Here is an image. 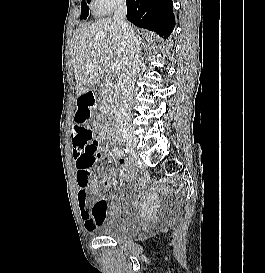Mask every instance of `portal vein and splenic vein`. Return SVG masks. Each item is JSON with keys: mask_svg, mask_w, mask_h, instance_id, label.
<instances>
[{"mask_svg": "<svg viewBox=\"0 0 265 273\" xmlns=\"http://www.w3.org/2000/svg\"><path fill=\"white\" fill-rule=\"evenodd\" d=\"M111 68L113 71H118L122 68V63L116 60L113 63H111Z\"/></svg>", "mask_w": 265, "mask_h": 273, "instance_id": "obj_1", "label": "portal vein and splenic vein"}]
</instances>
